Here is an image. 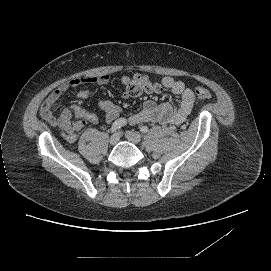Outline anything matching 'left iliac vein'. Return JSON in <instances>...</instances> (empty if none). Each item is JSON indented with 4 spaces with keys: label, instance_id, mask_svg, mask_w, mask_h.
I'll return each instance as SVG.
<instances>
[{
    "label": "left iliac vein",
    "instance_id": "1",
    "mask_svg": "<svg viewBox=\"0 0 271 271\" xmlns=\"http://www.w3.org/2000/svg\"><path fill=\"white\" fill-rule=\"evenodd\" d=\"M125 137L134 144H138L141 141V135L138 132L126 131Z\"/></svg>",
    "mask_w": 271,
    "mask_h": 271
}]
</instances>
